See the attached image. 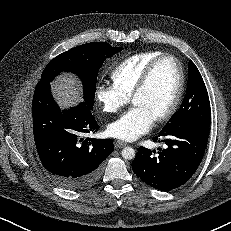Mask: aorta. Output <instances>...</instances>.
Returning a JSON list of instances; mask_svg holds the SVG:
<instances>
[{
    "label": "aorta",
    "mask_w": 231,
    "mask_h": 231,
    "mask_svg": "<svg viewBox=\"0 0 231 231\" xmlns=\"http://www.w3.org/2000/svg\"><path fill=\"white\" fill-rule=\"evenodd\" d=\"M121 154L124 159L132 160L135 157V150L132 147H125Z\"/></svg>",
    "instance_id": "762f6f07"
}]
</instances>
